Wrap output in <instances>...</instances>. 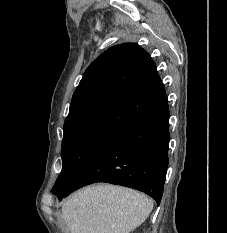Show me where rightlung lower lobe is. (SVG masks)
Wrapping results in <instances>:
<instances>
[{"instance_id": "98d812e1", "label": "right lung lower lobe", "mask_w": 227, "mask_h": 233, "mask_svg": "<svg viewBox=\"0 0 227 233\" xmlns=\"http://www.w3.org/2000/svg\"><path fill=\"white\" fill-rule=\"evenodd\" d=\"M169 107H163L118 132L65 189L59 200L83 186L107 182L142 191L159 205L166 178Z\"/></svg>"}]
</instances>
